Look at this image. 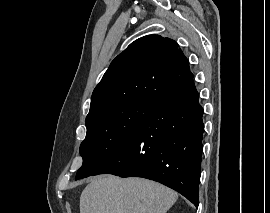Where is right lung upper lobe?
Wrapping results in <instances>:
<instances>
[{
	"label": "right lung upper lobe",
	"mask_w": 270,
	"mask_h": 213,
	"mask_svg": "<svg viewBox=\"0 0 270 213\" xmlns=\"http://www.w3.org/2000/svg\"><path fill=\"white\" fill-rule=\"evenodd\" d=\"M192 79L189 62L174 40L144 36L111 62L93 91L86 120L135 100L158 103Z\"/></svg>",
	"instance_id": "1"
}]
</instances>
